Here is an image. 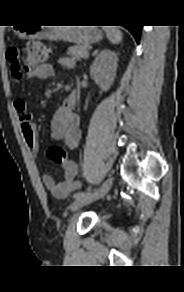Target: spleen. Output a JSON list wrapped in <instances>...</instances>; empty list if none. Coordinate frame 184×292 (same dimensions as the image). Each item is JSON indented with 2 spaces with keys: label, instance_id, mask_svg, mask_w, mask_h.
<instances>
[{
  "label": "spleen",
  "instance_id": "obj_1",
  "mask_svg": "<svg viewBox=\"0 0 184 292\" xmlns=\"http://www.w3.org/2000/svg\"><path fill=\"white\" fill-rule=\"evenodd\" d=\"M103 30L112 44H119L121 42L123 34L117 27H104Z\"/></svg>",
  "mask_w": 184,
  "mask_h": 292
}]
</instances>
